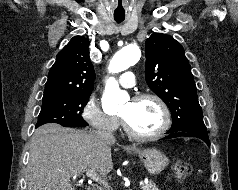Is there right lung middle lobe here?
<instances>
[{"instance_id":"obj_1","label":"right lung middle lobe","mask_w":238,"mask_h":190,"mask_svg":"<svg viewBox=\"0 0 238 190\" xmlns=\"http://www.w3.org/2000/svg\"><path fill=\"white\" fill-rule=\"evenodd\" d=\"M90 95H58L42 99V107L36 127L46 123H58L65 127L87 126L81 117Z\"/></svg>"}]
</instances>
